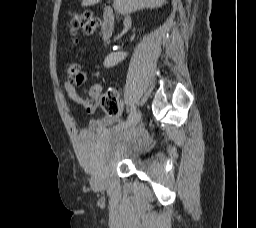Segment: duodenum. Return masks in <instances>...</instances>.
<instances>
[{
    "instance_id": "1",
    "label": "duodenum",
    "mask_w": 256,
    "mask_h": 228,
    "mask_svg": "<svg viewBox=\"0 0 256 228\" xmlns=\"http://www.w3.org/2000/svg\"><path fill=\"white\" fill-rule=\"evenodd\" d=\"M114 30V15L110 10L104 13L103 24L101 28V36L103 40H108Z\"/></svg>"
}]
</instances>
